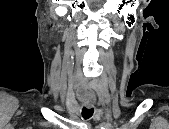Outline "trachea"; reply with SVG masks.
<instances>
[{"mask_svg": "<svg viewBox=\"0 0 169 129\" xmlns=\"http://www.w3.org/2000/svg\"><path fill=\"white\" fill-rule=\"evenodd\" d=\"M93 113H94L93 108L83 107V109H82V117L86 120L91 118Z\"/></svg>", "mask_w": 169, "mask_h": 129, "instance_id": "1", "label": "trachea"}]
</instances>
